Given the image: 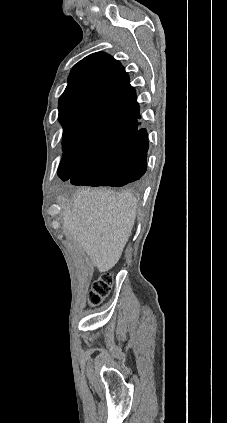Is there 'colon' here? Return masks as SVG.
I'll return each mask as SVG.
<instances>
[{"mask_svg":"<svg viewBox=\"0 0 227 423\" xmlns=\"http://www.w3.org/2000/svg\"><path fill=\"white\" fill-rule=\"evenodd\" d=\"M112 286V277L105 274L96 279L91 286L88 301L91 305L100 304L110 293Z\"/></svg>","mask_w":227,"mask_h":423,"instance_id":"colon-1","label":"colon"}]
</instances>
